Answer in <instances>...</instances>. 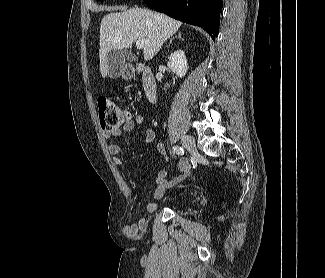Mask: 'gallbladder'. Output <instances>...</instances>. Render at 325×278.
I'll return each mask as SVG.
<instances>
[{"instance_id": "gallbladder-1", "label": "gallbladder", "mask_w": 325, "mask_h": 278, "mask_svg": "<svg viewBox=\"0 0 325 278\" xmlns=\"http://www.w3.org/2000/svg\"><path fill=\"white\" fill-rule=\"evenodd\" d=\"M125 59L134 60L135 55L127 50H111L108 53L107 64H108V76L110 78L119 77L125 67Z\"/></svg>"}]
</instances>
